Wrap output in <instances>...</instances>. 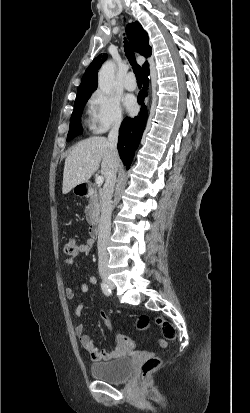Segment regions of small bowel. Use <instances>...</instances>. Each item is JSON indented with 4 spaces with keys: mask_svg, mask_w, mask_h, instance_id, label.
<instances>
[{
    "mask_svg": "<svg viewBox=\"0 0 250 413\" xmlns=\"http://www.w3.org/2000/svg\"><path fill=\"white\" fill-rule=\"evenodd\" d=\"M93 245V240L89 239L85 243L79 244L78 252L75 255H71L65 258L64 264L66 267H77V257L79 255H88L91 251ZM97 283V279L94 276H89L87 281H81L79 284L80 291L87 292L89 284L95 285ZM65 295L67 299H74L76 296V290L74 288H67L65 290ZM85 305L78 304L75 308V315L77 317H81ZM75 333L80 341L81 346L86 350L89 354L90 358L93 361H108L114 359L123 354L125 351V347L116 340L117 346L111 352H107L95 346L92 338L85 333V325L79 324L75 328ZM136 347V346H135Z\"/></svg>",
    "mask_w": 250,
    "mask_h": 413,
    "instance_id": "obj_1",
    "label": "small bowel"
}]
</instances>
